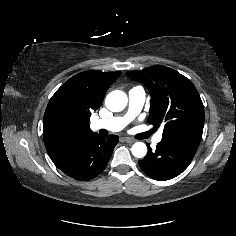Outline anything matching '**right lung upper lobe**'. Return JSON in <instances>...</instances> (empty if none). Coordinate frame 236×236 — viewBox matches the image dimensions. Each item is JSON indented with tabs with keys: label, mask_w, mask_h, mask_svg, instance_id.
<instances>
[{
	"label": "right lung upper lobe",
	"mask_w": 236,
	"mask_h": 236,
	"mask_svg": "<svg viewBox=\"0 0 236 236\" xmlns=\"http://www.w3.org/2000/svg\"><path fill=\"white\" fill-rule=\"evenodd\" d=\"M121 72L85 71L67 80L52 96L43 119V139L53 161L89 140L91 112L97 110Z\"/></svg>",
	"instance_id": "cb5924a9"
}]
</instances>
